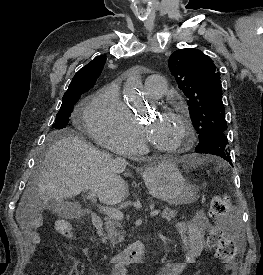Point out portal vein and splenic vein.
<instances>
[{
  "mask_svg": "<svg viewBox=\"0 0 263 275\" xmlns=\"http://www.w3.org/2000/svg\"><path fill=\"white\" fill-rule=\"evenodd\" d=\"M88 198L91 199L92 201L95 200V193L93 191H89L88 193ZM100 211L104 212L107 216L116 219V220H122L124 215L123 213L115 208H110V207H104V206H99ZM160 213V210H151L150 215L151 216H157Z\"/></svg>",
  "mask_w": 263,
  "mask_h": 275,
  "instance_id": "18ae733b",
  "label": "portal vein and splenic vein"
}]
</instances>
